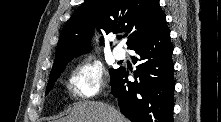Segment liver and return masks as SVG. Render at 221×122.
Listing matches in <instances>:
<instances>
[{
  "instance_id": "obj_1",
  "label": "liver",
  "mask_w": 221,
  "mask_h": 122,
  "mask_svg": "<svg viewBox=\"0 0 221 122\" xmlns=\"http://www.w3.org/2000/svg\"><path fill=\"white\" fill-rule=\"evenodd\" d=\"M61 122H127V119L114 107L102 102H77L70 114Z\"/></svg>"
}]
</instances>
